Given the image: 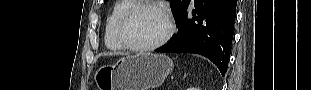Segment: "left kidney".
<instances>
[{
  "label": "left kidney",
  "mask_w": 311,
  "mask_h": 90,
  "mask_svg": "<svg viewBox=\"0 0 311 90\" xmlns=\"http://www.w3.org/2000/svg\"><path fill=\"white\" fill-rule=\"evenodd\" d=\"M188 90H196V88H188Z\"/></svg>",
  "instance_id": "5707ae66"
}]
</instances>
